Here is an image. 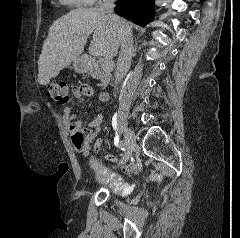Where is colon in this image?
<instances>
[{
  "mask_svg": "<svg viewBox=\"0 0 240 238\" xmlns=\"http://www.w3.org/2000/svg\"><path fill=\"white\" fill-rule=\"evenodd\" d=\"M48 95L63 104L68 98L69 87L64 83H50L46 86ZM72 140L76 147L86 148L87 138L89 133L87 131L78 130L75 126L72 127Z\"/></svg>",
  "mask_w": 240,
  "mask_h": 238,
  "instance_id": "colon-1",
  "label": "colon"
}]
</instances>
